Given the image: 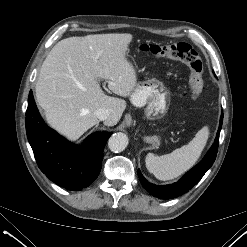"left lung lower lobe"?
Here are the masks:
<instances>
[{"instance_id":"0a47b994","label":"left lung lower lobe","mask_w":247,"mask_h":247,"mask_svg":"<svg viewBox=\"0 0 247 247\" xmlns=\"http://www.w3.org/2000/svg\"><path fill=\"white\" fill-rule=\"evenodd\" d=\"M223 122V114L220 117V124L217 131V136L214 144L205 155L203 160L198 163L194 168L187 172L178 182L169 185H154L149 183L138 170V177L143 187L153 196L160 199H171L183 195L193 186H195L201 178L204 176L206 171L212 166L215 161L218 145H219V134L221 131Z\"/></svg>"}]
</instances>
